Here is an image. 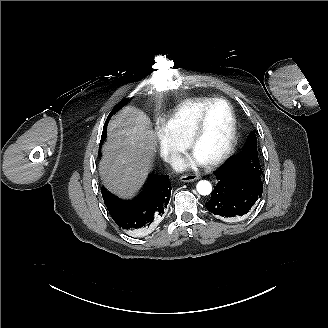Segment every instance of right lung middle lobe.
<instances>
[{"instance_id":"right-lung-middle-lobe-1","label":"right lung middle lobe","mask_w":328,"mask_h":328,"mask_svg":"<svg viewBox=\"0 0 328 328\" xmlns=\"http://www.w3.org/2000/svg\"><path fill=\"white\" fill-rule=\"evenodd\" d=\"M129 101L128 98L122 100L121 102L118 103L117 106H115V108L110 112L109 116L107 117V120L105 122V125L103 127V132H102V136H101V141H100V147H99V154H101V146L103 144V142L105 141L106 138V129H107V125L109 122V119L111 118V116L116 113L120 108H122L123 106H125V104H127Z\"/></svg>"}]
</instances>
